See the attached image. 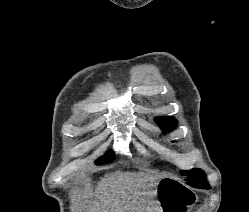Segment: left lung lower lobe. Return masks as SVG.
I'll return each instance as SVG.
<instances>
[{
	"instance_id": "0a47b994",
	"label": "left lung lower lobe",
	"mask_w": 249,
	"mask_h": 212,
	"mask_svg": "<svg viewBox=\"0 0 249 212\" xmlns=\"http://www.w3.org/2000/svg\"><path fill=\"white\" fill-rule=\"evenodd\" d=\"M196 188L210 189V186H209V185H208V186H198V187H196Z\"/></svg>"
}]
</instances>
